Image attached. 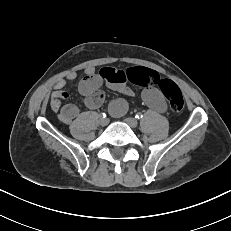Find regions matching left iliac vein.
<instances>
[{
	"instance_id": "left-iliac-vein-1",
	"label": "left iliac vein",
	"mask_w": 231,
	"mask_h": 231,
	"mask_svg": "<svg viewBox=\"0 0 231 231\" xmlns=\"http://www.w3.org/2000/svg\"><path fill=\"white\" fill-rule=\"evenodd\" d=\"M126 123L131 127V128H136L138 125V122L135 118L133 117H128L126 119Z\"/></svg>"
}]
</instances>
